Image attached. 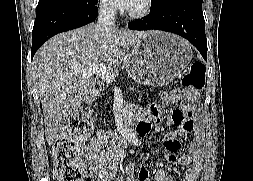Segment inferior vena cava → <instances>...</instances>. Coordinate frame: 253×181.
I'll return each instance as SVG.
<instances>
[{"label": "inferior vena cava", "instance_id": "602c4592", "mask_svg": "<svg viewBox=\"0 0 253 181\" xmlns=\"http://www.w3.org/2000/svg\"><path fill=\"white\" fill-rule=\"evenodd\" d=\"M116 11L117 9L112 3H101L97 23L103 27H113Z\"/></svg>", "mask_w": 253, "mask_h": 181}]
</instances>
